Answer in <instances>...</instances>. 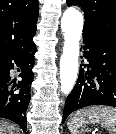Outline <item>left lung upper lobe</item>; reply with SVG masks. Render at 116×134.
Instances as JSON below:
<instances>
[{
	"mask_svg": "<svg viewBox=\"0 0 116 134\" xmlns=\"http://www.w3.org/2000/svg\"><path fill=\"white\" fill-rule=\"evenodd\" d=\"M84 11L83 33H101L116 38V0H67Z\"/></svg>",
	"mask_w": 116,
	"mask_h": 134,
	"instance_id": "1",
	"label": "left lung upper lobe"
}]
</instances>
